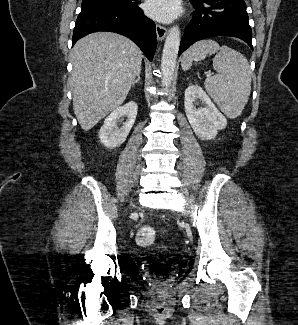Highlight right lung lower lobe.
<instances>
[{"mask_svg":"<svg viewBox=\"0 0 298 325\" xmlns=\"http://www.w3.org/2000/svg\"><path fill=\"white\" fill-rule=\"evenodd\" d=\"M97 31L116 32L130 38L152 61L157 46L155 23L137 5L130 8L81 11L76 20L72 44Z\"/></svg>","mask_w":298,"mask_h":325,"instance_id":"obj_1","label":"right lung lower lobe"}]
</instances>
